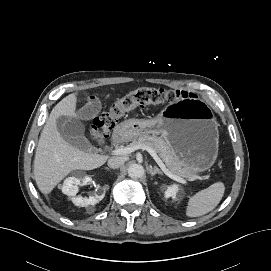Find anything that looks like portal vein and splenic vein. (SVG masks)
<instances>
[{
    "mask_svg": "<svg viewBox=\"0 0 271 271\" xmlns=\"http://www.w3.org/2000/svg\"><path fill=\"white\" fill-rule=\"evenodd\" d=\"M137 149H142V150H146L152 157L153 159L156 161V163L159 165V167L162 169V171L171 179L177 181V182H180L182 184H187V180H185L184 178H181L173 173H171L168 168L165 166V164L163 163V161L160 159V157L157 155V153L154 151L153 148L147 146V145H137V146H133V147H124V148H117V149H114L112 151V154L113 155H127L129 153H132L134 152L135 150ZM196 179H199V180H202L201 177L199 176H194V177H191V180H196Z\"/></svg>",
    "mask_w": 271,
    "mask_h": 271,
    "instance_id": "1",
    "label": "portal vein and splenic vein"
}]
</instances>
